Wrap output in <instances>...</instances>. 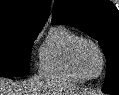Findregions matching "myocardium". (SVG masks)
I'll use <instances>...</instances> for the list:
<instances>
[{
    "mask_svg": "<svg viewBox=\"0 0 119 95\" xmlns=\"http://www.w3.org/2000/svg\"><path fill=\"white\" fill-rule=\"evenodd\" d=\"M84 44H90L93 47H95V49L98 51V53L100 55L101 68H100L99 73L95 76H90V75L86 74L80 67V64L78 61V53H79L80 48ZM70 61H71V65H72L73 69L75 70V72L85 80H94V79L99 78L103 74L105 65H106L105 54H104L101 46L93 39L85 38V37H80L72 46L71 53H70Z\"/></svg>",
    "mask_w": 119,
    "mask_h": 95,
    "instance_id": "obj_1",
    "label": "myocardium"
}]
</instances>
